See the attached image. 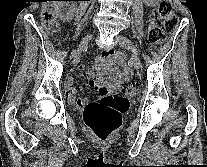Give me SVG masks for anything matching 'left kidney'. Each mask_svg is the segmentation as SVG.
Wrapping results in <instances>:
<instances>
[{
  "instance_id": "left-kidney-1",
  "label": "left kidney",
  "mask_w": 207,
  "mask_h": 167,
  "mask_svg": "<svg viewBox=\"0 0 207 167\" xmlns=\"http://www.w3.org/2000/svg\"><path fill=\"white\" fill-rule=\"evenodd\" d=\"M147 5H156V0H144Z\"/></svg>"
}]
</instances>
